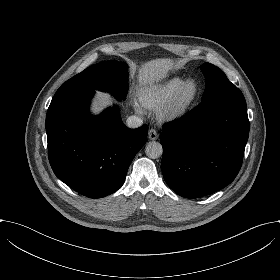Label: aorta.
I'll return each mask as SVG.
<instances>
[{"instance_id":"aorta-1","label":"aorta","mask_w":280,"mask_h":280,"mask_svg":"<svg viewBox=\"0 0 280 280\" xmlns=\"http://www.w3.org/2000/svg\"><path fill=\"white\" fill-rule=\"evenodd\" d=\"M162 145L157 141H150L147 143L145 153L149 158L155 159L162 155Z\"/></svg>"}]
</instances>
